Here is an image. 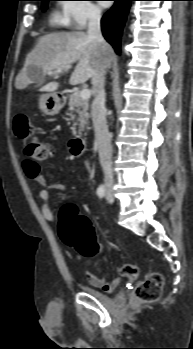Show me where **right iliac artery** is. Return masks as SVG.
<instances>
[{
	"instance_id": "82829eb1",
	"label": "right iliac artery",
	"mask_w": 193,
	"mask_h": 349,
	"mask_svg": "<svg viewBox=\"0 0 193 349\" xmlns=\"http://www.w3.org/2000/svg\"><path fill=\"white\" fill-rule=\"evenodd\" d=\"M106 194V187L105 185H100L98 188H97V195L100 197V198H103Z\"/></svg>"
}]
</instances>
